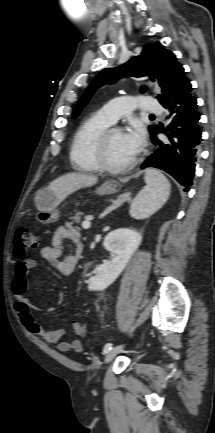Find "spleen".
<instances>
[{
	"instance_id": "3e777b00",
	"label": "spleen",
	"mask_w": 215,
	"mask_h": 433,
	"mask_svg": "<svg viewBox=\"0 0 215 433\" xmlns=\"http://www.w3.org/2000/svg\"><path fill=\"white\" fill-rule=\"evenodd\" d=\"M146 186L133 200L130 215L135 219H144L160 209L167 201L171 185L159 171L147 169L144 176Z\"/></svg>"
}]
</instances>
